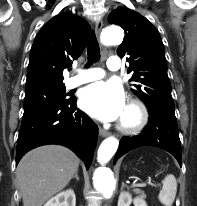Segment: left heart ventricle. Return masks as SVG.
Here are the masks:
<instances>
[{
	"label": "left heart ventricle",
	"mask_w": 197,
	"mask_h": 206,
	"mask_svg": "<svg viewBox=\"0 0 197 206\" xmlns=\"http://www.w3.org/2000/svg\"><path fill=\"white\" fill-rule=\"evenodd\" d=\"M123 117L130 119L132 117L131 113H129L128 111H125Z\"/></svg>",
	"instance_id": "b2bd125f"
}]
</instances>
